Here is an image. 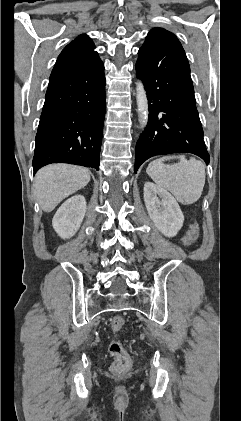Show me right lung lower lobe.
Segmentation results:
<instances>
[{"mask_svg":"<svg viewBox=\"0 0 241 421\" xmlns=\"http://www.w3.org/2000/svg\"><path fill=\"white\" fill-rule=\"evenodd\" d=\"M105 117L100 58L50 77L33 157V170L51 163L99 169Z\"/></svg>","mask_w":241,"mask_h":421,"instance_id":"right-lung-lower-lobe-1","label":"right lung lower lobe"}]
</instances>
